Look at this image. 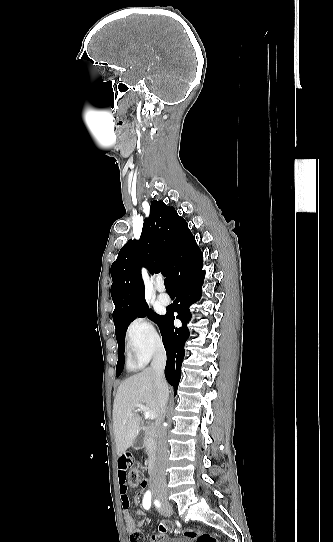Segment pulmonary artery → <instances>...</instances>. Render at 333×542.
Segmentation results:
<instances>
[{
	"label": "pulmonary artery",
	"instance_id": "e3ab8cb5",
	"mask_svg": "<svg viewBox=\"0 0 333 542\" xmlns=\"http://www.w3.org/2000/svg\"><path fill=\"white\" fill-rule=\"evenodd\" d=\"M161 303H162L163 305H165V306H166V305H168V304H169V301H167V300H161Z\"/></svg>",
	"mask_w": 333,
	"mask_h": 542
}]
</instances>
